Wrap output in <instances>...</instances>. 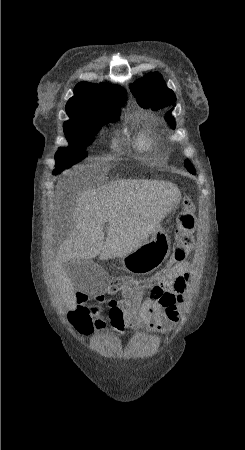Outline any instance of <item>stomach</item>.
Here are the masks:
<instances>
[{
    "mask_svg": "<svg viewBox=\"0 0 245 450\" xmlns=\"http://www.w3.org/2000/svg\"><path fill=\"white\" fill-rule=\"evenodd\" d=\"M170 249V238L160 222L149 241L144 242L129 254L120 257L119 261L130 273L149 274L167 259Z\"/></svg>",
    "mask_w": 245,
    "mask_h": 450,
    "instance_id": "stomach-1",
    "label": "stomach"
}]
</instances>
